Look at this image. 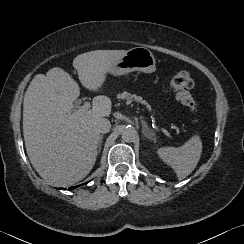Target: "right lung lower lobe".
Returning <instances> with one entry per match:
<instances>
[{"instance_id":"obj_1","label":"right lung lower lobe","mask_w":244,"mask_h":244,"mask_svg":"<svg viewBox=\"0 0 244 244\" xmlns=\"http://www.w3.org/2000/svg\"><path fill=\"white\" fill-rule=\"evenodd\" d=\"M74 188H75V187H70L69 190H72V189H74ZM61 189L64 190V188H61Z\"/></svg>"}]
</instances>
